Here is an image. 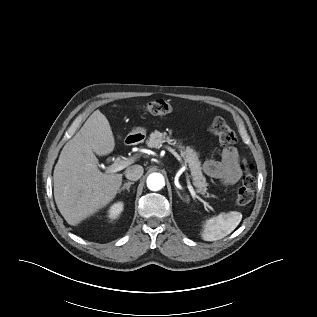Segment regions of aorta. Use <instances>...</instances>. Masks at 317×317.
I'll list each match as a JSON object with an SVG mask.
<instances>
[{
  "label": "aorta",
  "instance_id": "obj_1",
  "mask_svg": "<svg viewBox=\"0 0 317 317\" xmlns=\"http://www.w3.org/2000/svg\"><path fill=\"white\" fill-rule=\"evenodd\" d=\"M147 187L151 191H159L165 186V180L162 174L152 173L147 177Z\"/></svg>",
  "mask_w": 317,
  "mask_h": 317
}]
</instances>
